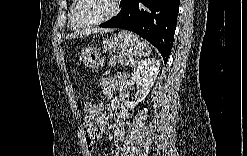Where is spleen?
Returning a JSON list of instances; mask_svg holds the SVG:
<instances>
[{"label":"spleen","instance_id":"spleen-1","mask_svg":"<svg viewBox=\"0 0 247 156\" xmlns=\"http://www.w3.org/2000/svg\"><path fill=\"white\" fill-rule=\"evenodd\" d=\"M142 53L144 56H148L151 53V48L149 47L148 43L146 41H142Z\"/></svg>","mask_w":247,"mask_h":156}]
</instances>
